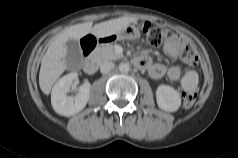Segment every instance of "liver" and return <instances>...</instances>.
<instances>
[{
    "label": "liver",
    "mask_w": 238,
    "mask_h": 158,
    "mask_svg": "<svg viewBox=\"0 0 238 158\" xmlns=\"http://www.w3.org/2000/svg\"><path fill=\"white\" fill-rule=\"evenodd\" d=\"M135 20L133 17H121L95 24L93 27L92 22H86L70 26L63 30L53 39L42 58L39 72V85L42 92L48 95L54 83L67 69L66 42L69 39L79 40L89 33L97 38L108 37L119 32Z\"/></svg>",
    "instance_id": "6515ba94"
}]
</instances>
